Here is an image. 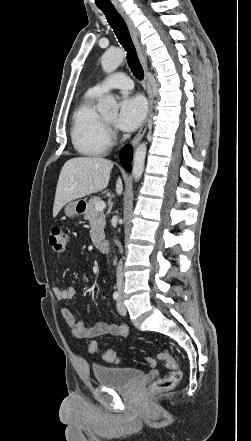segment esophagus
I'll list each match as a JSON object with an SVG mask.
<instances>
[{"mask_svg": "<svg viewBox=\"0 0 251 441\" xmlns=\"http://www.w3.org/2000/svg\"><path fill=\"white\" fill-rule=\"evenodd\" d=\"M117 10H118L119 14L122 16V18L124 19V21L126 22L128 28H129L130 35H131L132 41H133V43L135 45V48H136L139 60H140L142 66L144 68L145 73H146V78L145 79H146V90H147L149 107H148V113L146 115V118H145L141 128L139 129L138 133L135 135V137L133 138V140L131 142V144L133 146H135L136 144H138L140 142V140L143 138V136H144V134L146 132L147 125H148V122H149V119H150V116H151V113H152V110H153V100H154V97H153L152 87H151L150 81H149V79L147 77V73H148L147 60H146V58H145V56L143 54V51H142V49L140 47L139 42H138L136 28H135L131 18L129 17V15L125 12V10L122 7H118Z\"/></svg>", "mask_w": 251, "mask_h": 441, "instance_id": "obj_1", "label": "esophagus"}]
</instances>
